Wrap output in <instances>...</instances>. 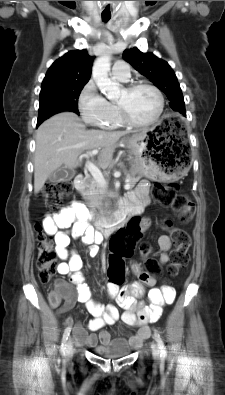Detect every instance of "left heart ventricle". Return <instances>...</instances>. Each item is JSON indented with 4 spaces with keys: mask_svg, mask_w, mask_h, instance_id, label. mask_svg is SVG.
Instances as JSON below:
<instances>
[{
    "mask_svg": "<svg viewBox=\"0 0 225 395\" xmlns=\"http://www.w3.org/2000/svg\"><path fill=\"white\" fill-rule=\"evenodd\" d=\"M117 102L121 103L129 117L137 122L150 121L158 109L157 97L148 88H139L132 93L122 90Z\"/></svg>",
    "mask_w": 225,
    "mask_h": 395,
    "instance_id": "obj_1",
    "label": "left heart ventricle"
}]
</instances>
